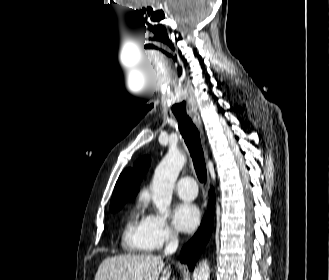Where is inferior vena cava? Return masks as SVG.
I'll list each match as a JSON object with an SVG mask.
<instances>
[{"label": "inferior vena cava", "mask_w": 329, "mask_h": 280, "mask_svg": "<svg viewBox=\"0 0 329 280\" xmlns=\"http://www.w3.org/2000/svg\"><path fill=\"white\" fill-rule=\"evenodd\" d=\"M178 248V238L176 233H170V240L166 243L164 255L173 254Z\"/></svg>", "instance_id": "inferior-vena-cava-1"}]
</instances>
